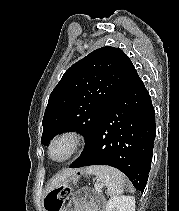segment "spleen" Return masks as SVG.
Masks as SVG:
<instances>
[{
	"mask_svg": "<svg viewBox=\"0 0 179 211\" xmlns=\"http://www.w3.org/2000/svg\"><path fill=\"white\" fill-rule=\"evenodd\" d=\"M85 172L89 175H95L101 184L107 187L108 196L115 197L123 193L125 177L116 168L110 166H90L86 168Z\"/></svg>",
	"mask_w": 179,
	"mask_h": 211,
	"instance_id": "spleen-1",
	"label": "spleen"
}]
</instances>
